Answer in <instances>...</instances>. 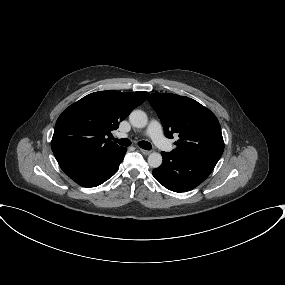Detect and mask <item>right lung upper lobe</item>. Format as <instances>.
<instances>
[{
	"label": "right lung upper lobe",
	"instance_id": "cb5924a9",
	"mask_svg": "<svg viewBox=\"0 0 285 285\" xmlns=\"http://www.w3.org/2000/svg\"><path fill=\"white\" fill-rule=\"evenodd\" d=\"M148 92L99 91L69 106L58 118L51 141L54 155L83 151L97 154L121 148L105 136L119 127Z\"/></svg>",
	"mask_w": 285,
	"mask_h": 285
}]
</instances>
